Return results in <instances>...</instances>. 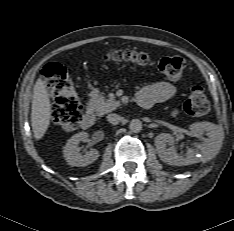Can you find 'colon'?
Wrapping results in <instances>:
<instances>
[{
    "label": "colon",
    "instance_id": "1",
    "mask_svg": "<svg viewBox=\"0 0 234 231\" xmlns=\"http://www.w3.org/2000/svg\"><path fill=\"white\" fill-rule=\"evenodd\" d=\"M105 57L109 62L130 64L138 68L154 64L146 53L138 51L117 50L107 53ZM156 65L167 79L178 81L183 76L186 62L181 56H169L159 59ZM43 76L48 92L55 99L53 123L64 131L75 130L82 120V106L67 70L59 63H48L43 68ZM184 110L191 116H201L209 111V101L201 87L191 89Z\"/></svg>",
    "mask_w": 234,
    "mask_h": 231
}]
</instances>
